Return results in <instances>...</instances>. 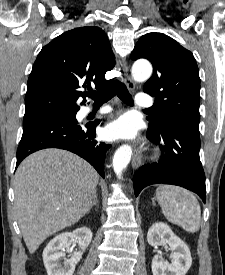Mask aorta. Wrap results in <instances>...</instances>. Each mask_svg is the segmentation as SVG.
Masks as SVG:
<instances>
[{
  "mask_svg": "<svg viewBox=\"0 0 225 275\" xmlns=\"http://www.w3.org/2000/svg\"><path fill=\"white\" fill-rule=\"evenodd\" d=\"M132 77L137 82H143L150 78L152 66L148 61H137L132 66ZM132 156V149L128 145H123L115 152L113 157V169L120 178L123 170L128 166Z\"/></svg>",
  "mask_w": 225,
  "mask_h": 275,
  "instance_id": "1",
  "label": "aorta"
}]
</instances>
